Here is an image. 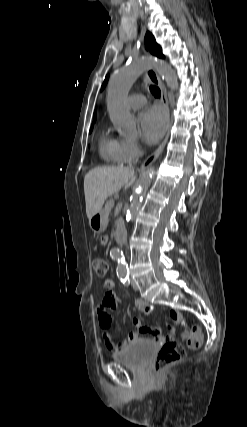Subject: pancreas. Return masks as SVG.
Segmentation results:
<instances>
[{
    "instance_id": "obj_1",
    "label": "pancreas",
    "mask_w": 247,
    "mask_h": 427,
    "mask_svg": "<svg viewBox=\"0 0 247 427\" xmlns=\"http://www.w3.org/2000/svg\"><path fill=\"white\" fill-rule=\"evenodd\" d=\"M113 204H114V199L110 198L109 200H107L105 207L103 209V212L106 214H109L113 207Z\"/></svg>"
}]
</instances>
